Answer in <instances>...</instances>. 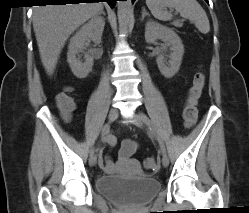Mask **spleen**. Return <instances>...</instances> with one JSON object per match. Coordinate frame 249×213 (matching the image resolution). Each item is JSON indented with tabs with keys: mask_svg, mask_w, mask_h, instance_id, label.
<instances>
[{
	"mask_svg": "<svg viewBox=\"0 0 249 213\" xmlns=\"http://www.w3.org/2000/svg\"><path fill=\"white\" fill-rule=\"evenodd\" d=\"M146 5L152 15L159 20H170L172 16L165 8H174L181 17L194 22L201 33L206 34L210 31L206 12L196 0H146Z\"/></svg>",
	"mask_w": 249,
	"mask_h": 213,
	"instance_id": "obj_1",
	"label": "spleen"
}]
</instances>
